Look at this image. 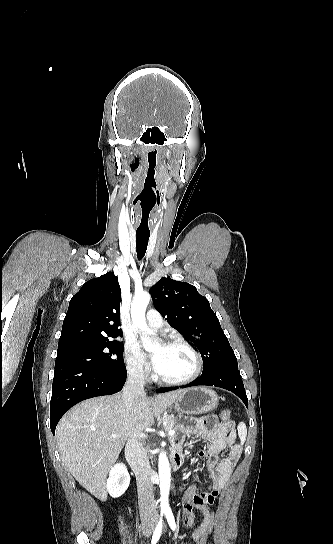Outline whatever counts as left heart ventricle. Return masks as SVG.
Returning <instances> with one entry per match:
<instances>
[{
  "instance_id": "b2bd125f",
  "label": "left heart ventricle",
  "mask_w": 333,
  "mask_h": 544,
  "mask_svg": "<svg viewBox=\"0 0 333 544\" xmlns=\"http://www.w3.org/2000/svg\"><path fill=\"white\" fill-rule=\"evenodd\" d=\"M154 354L159 356L155 366L157 373L169 380H179L188 377L195 368L194 356L181 346H169L161 344L157 346Z\"/></svg>"
}]
</instances>
